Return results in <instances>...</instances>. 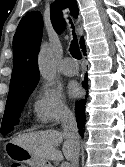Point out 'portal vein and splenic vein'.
Segmentation results:
<instances>
[{
    "instance_id": "18ae733b",
    "label": "portal vein and splenic vein",
    "mask_w": 125,
    "mask_h": 167,
    "mask_svg": "<svg viewBox=\"0 0 125 167\" xmlns=\"http://www.w3.org/2000/svg\"><path fill=\"white\" fill-rule=\"evenodd\" d=\"M69 163H62L60 167H69Z\"/></svg>"
}]
</instances>
